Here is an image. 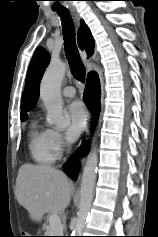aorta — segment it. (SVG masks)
<instances>
[{
  "instance_id": "762f6f07",
  "label": "aorta",
  "mask_w": 158,
  "mask_h": 237,
  "mask_svg": "<svg viewBox=\"0 0 158 237\" xmlns=\"http://www.w3.org/2000/svg\"><path fill=\"white\" fill-rule=\"evenodd\" d=\"M65 72V63L53 60L47 67L40 83V97L47 110V122L59 128H64L68 125V120L63 115V100L61 97V83ZM97 164L98 153L97 149L93 148L88 154L82 175L79 212L74 234L81 232L89 215L94 195Z\"/></svg>"
}]
</instances>
